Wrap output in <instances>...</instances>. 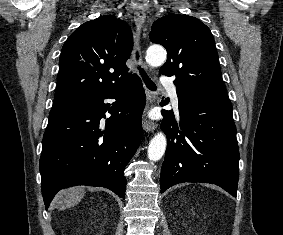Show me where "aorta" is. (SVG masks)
<instances>
[{"label": "aorta", "instance_id": "762f6f07", "mask_svg": "<svg viewBox=\"0 0 283 235\" xmlns=\"http://www.w3.org/2000/svg\"><path fill=\"white\" fill-rule=\"evenodd\" d=\"M146 60L151 66H161L166 60V51L158 45L150 46L146 53ZM167 145L164 133H157L150 141L148 147V158L151 161H158L165 153Z\"/></svg>", "mask_w": 283, "mask_h": 235}]
</instances>
